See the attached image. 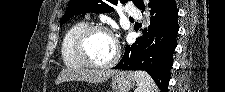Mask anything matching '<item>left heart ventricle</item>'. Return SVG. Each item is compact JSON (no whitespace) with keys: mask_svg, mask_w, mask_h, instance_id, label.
<instances>
[{"mask_svg":"<svg viewBox=\"0 0 225 92\" xmlns=\"http://www.w3.org/2000/svg\"><path fill=\"white\" fill-rule=\"evenodd\" d=\"M86 50L94 62L99 64L107 63L115 55V42L108 33L95 32L89 38Z\"/></svg>","mask_w":225,"mask_h":92,"instance_id":"left-heart-ventricle-1","label":"left heart ventricle"}]
</instances>
